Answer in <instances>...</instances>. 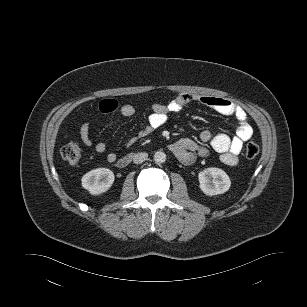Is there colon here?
Segmentation results:
<instances>
[{"instance_id":"1","label":"colon","mask_w":307,"mask_h":307,"mask_svg":"<svg viewBox=\"0 0 307 307\" xmlns=\"http://www.w3.org/2000/svg\"><path fill=\"white\" fill-rule=\"evenodd\" d=\"M110 103L114 105L113 101H110ZM259 150L256 143L250 142L246 145L245 156L248 159H253L259 154ZM61 156L67 162L76 164L81 158V149L76 143H69L61 149Z\"/></svg>"}]
</instances>
